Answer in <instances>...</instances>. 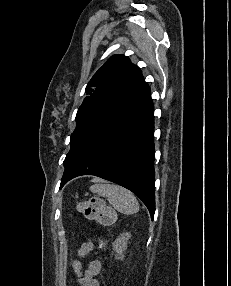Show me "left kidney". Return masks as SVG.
I'll return each instance as SVG.
<instances>
[{"label":"left kidney","instance_id":"1","mask_svg":"<svg viewBox=\"0 0 231 286\" xmlns=\"http://www.w3.org/2000/svg\"><path fill=\"white\" fill-rule=\"evenodd\" d=\"M131 234L130 233H123L121 236H119L113 243V250L116 252L115 258L123 260L124 259V253L127 249V243L130 239Z\"/></svg>","mask_w":231,"mask_h":286}]
</instances>
